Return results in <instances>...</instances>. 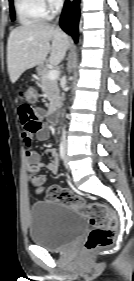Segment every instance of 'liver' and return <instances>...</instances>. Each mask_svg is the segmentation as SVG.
I'll return each instance as SVG.
<instances>
[{
    "label": "liver",
    "mask_w": 134,
    "mask_h": 281,
    "mask_svg": "<svg viewBox=\"0 0 134 281\" xmlns=\"http://www.w3.org/2000/svg\"><path fill=\"white\" fill-rule=\"evenodd\" d=\"M70 45L69 37L46 22H31L11 31L7 43V67L12 83L27 69L49 63L58 65Z\"/></svg>",
    "instance_id": "liver-1"
}]
</instances>
